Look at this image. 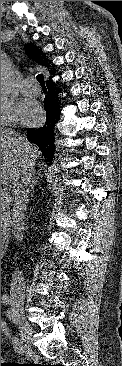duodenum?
<instances>
[{
    "label": "duodenum",
    "instance_id": "410a0bca",
    "mask_svg": "<svg viewBox=\"0 0 122 366\" xmlns=\"http://www.w3.org/2000/svg\"><path fill=\"white\" fill-rule=\"evenodd\" d=\"M4 249H5V243L1 242V253L4 251Z\"/></svg>",
    "mask_w": 122,
    "mask_h": 366
}]
</instances>
